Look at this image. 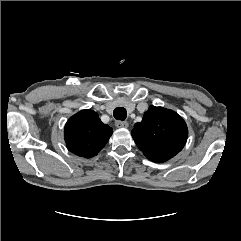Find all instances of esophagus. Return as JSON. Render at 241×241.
I'll list each match as a JSON object with an SVG mask.
<instances>
[{
  "label": "esophagus",
  "mask_w": 241,
  "mask_h": 241,
  "mask_svg": "<svg viewBox=\"0 0 241 241\" xmlns=\"http://www.w3.org/2000/svg\"><path fill=\"white\" fill-rule=\"evenodd\" d=\"M115 126L117 128H127L129 124L126 121H116Z\"/></svg>",
  "instance_id": "obj_1"
}]
</instances>
